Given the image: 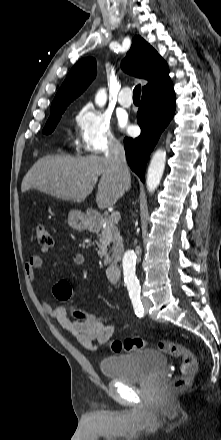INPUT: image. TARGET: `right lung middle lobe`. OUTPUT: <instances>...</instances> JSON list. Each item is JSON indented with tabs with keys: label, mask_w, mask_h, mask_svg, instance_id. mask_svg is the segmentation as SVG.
<instances>
[{
	"label": "right lung middle lobe",
	"mask_w": 221,
	"mask_h": 440,
	"mask_svg": "<svg viewBox=\"0 0 221 440\" xmlns=\"http://www.w3.org/2000/svg\"><path fill=\"white\" fill-rule=\"evenodd\" d=\"M65 109L66 106L58 107L50 110V117L43 129L44 134H50L55 129Z\"/></svg>",
	"instance_id": "right-lung-middle-lobe-1"
}]
</instances>
